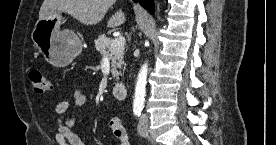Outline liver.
<instances>
[{"instance_id": "1", "label": "liver", "mask_w": 276, "mask_h": 145, "mask_svg": "<svg viewBox=\"0 0 276 145\" xmlns=\"http://www.w3.org/2000/svg\"><path fill=\"white\" fill-rule=\"evenodd\" d=\"M115 0H44L39 11V19L64 12L85 25H96L105 16ZM125 14L117 11L108 21L110 28L125 22Z\"/></svg>"}]
</instances>
